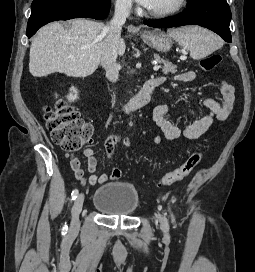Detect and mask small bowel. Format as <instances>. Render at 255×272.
<instances>
[{
  "instance_id": "obj_1",
  "label": "small bowel",
  "mask_w": 255,
  "mask_h": 272,
  "mask_svg": "<svg viewBox=\"0 0 255 272\" xmlns=\"http://www.w3.org/2000/svg\"><path fill=\"white\" fill-rule=\"evenodd\" d=\"M160 84L165 81V77H156ZM196 78L194 71H185L174 76V80L178 82L188 83ZM221 98H206L203 101L204 107L207 109L206 114L198 115L185 127L179 128L175 126L170 120L171 113L170 106L166 104L158 105L154 108L152 119L158 126L160 132L155 136L154 143L159 144L162 138L169 141L176 140L179 137L187 139L200 138L212 125L214 120H226L235 103V89L234 86L226 79L221 78L218 82ZM119 142H123L126 146L131 144L130 139L122 138L119 135H110L104 143L105 151L109 158H112L115 148ZM83 156L86 158L87 170L92 173L89 178L85 175V169L79 157L73 153L69 155L70 164L74 171L75 177L82 184L89 183L91 185L104 184L108 181L107 174L96 175L94 172L97 169V159L94 157L92 148L86 147L83 150Z\"/></svg>"
}]
</instances>
